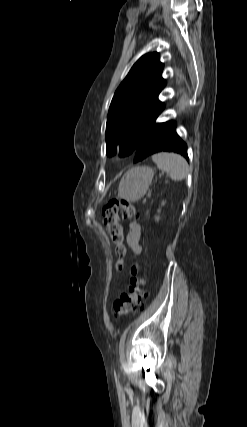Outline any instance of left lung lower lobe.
<instances>
[{
    "label": "left lung lower lobe",
    "instance_id": "obj_1",
    "mask_svg": "<svg viewBox=\"0 0 247 427\" xmlns=\"http://www.w3.org/2000/svg\"><path fill=\"white\" fill-rule=\"evenodd\" d=\"M175 128L174 121L156 123L155 120L141 139L135 152L134 162H140L162 151L179 153L188 160L187 145L178 136Z\"/></svg>",
    "mask_w": 247,
    "mask_h": 427
}]
</instances>
